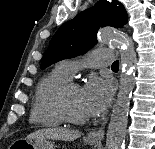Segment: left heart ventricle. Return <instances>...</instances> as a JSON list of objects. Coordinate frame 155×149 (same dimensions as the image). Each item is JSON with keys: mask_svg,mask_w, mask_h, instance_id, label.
<instances>
[{"mask_svg": "<svg viewBox=\"0 0 155 149\" xmlns=\"http://www.w3.org/2000/svg\"><path fill=\"white\" fill-rule=\"evenodd\" d=\"M67 102L72 113L78 117H87L81 101V89L73 87L68 91Z\"/></svg>", "mask_w": 155, "mask_h": 149, "instance_id": "obj_1", "label": "left heart ventricle"}]
</instances>
